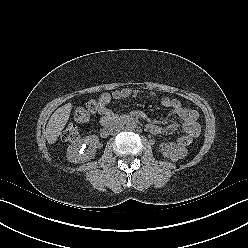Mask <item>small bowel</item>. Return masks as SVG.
Returning a JSON list of instances; mask_svg holds the SVG:
<instances>
[{"instance_id":"c3829d8e","label":"small bowel","mask_w":248,"mask_h":248,"mask_svg":"<svg viewBox=\"0 0 248 248\" xmlns=\"http://www.w3.org/2000/svg\"><path fill=\"white\" fill-rule=\"evenodd\" d=\"M138 95L137 90H132L130 88H122L115 90L112 94L102 93L99 96V109L98 112L101 115V123L104 125L108 121L117 117L116 112L109 107L111 99L123 100L129 97H136ZM153 95V94H151ZM161 104L164 107L170 109L171 114L176 115L182 121L181 128L186 136L195 139L200 133V124L198 122V112L196 110L185 107L177 99L164 96L161 98ZM148 130L153 134H168L175 132L180 125L176 122L168 123L164 126L150 123L148 124Z\"/></svg>"}]
</instances>
